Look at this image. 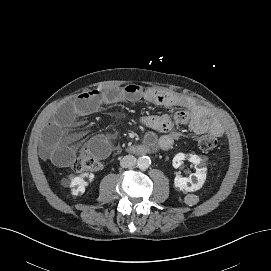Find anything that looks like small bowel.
Returning a JSON list of instances; mask_svg holds the SVG:
<instances>
[{"mask_svg": "<svg viewBox=\"0 0 271 271\" xmlns=\"http://www.w3.org/2000/svg\"><path fill=\"white\" fill-rule=\"evenodd\" d=\"M140 99L168 108L182 109L172 115L165 113L140 118V122L146 127L163 133L158 140L163 150H169L180 138L181 134L175 129L176 125H188L191 131L198 135L209 132L219 137L223 133L221 124L211 111L199 105L192 97L156 87L130 84L106 91H85L74 100L64 103L45 129L41 148L42 156L57 166H67L75 152L69 144L72 137L64 132L65 128L71 126L77 118L92 114L102 106ZM112 137V134L97 135L89 141V148L99 157L105 158L111 152Z\"/></svg>", "mask_w": 271, "mask_h": 271, "instance_id": "obj_1", "label": "small bowel"}]
</instances>
